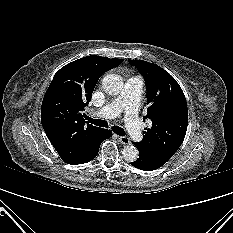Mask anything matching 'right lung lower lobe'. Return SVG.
<instances>
[{
  "instance_id": "98d812e1",
  "label": "right lung lower lobe",
  "mask_w": 233,
  "mask_h": 233,
  "mask_svg": "<svg viewBox=\"0 0 233 233\" xmlns=\"http://www.w3.org/2000/svg\"><path fill=\"white\" fill-rule=\"evenodd\" d=\"M111 136H112V132L110 130L101 129L99 131V134L97 135V138L92 142L90 146L86 148L84 153L77 159L68 162V164H73V165L84 164L93 160L98 154L99 147L102 141L110 138Z\"/></svg>"
}]
</instances>
